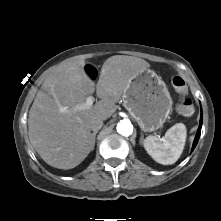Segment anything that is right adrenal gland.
<instances>
[{
  "label": "right adrenal gland",
  "instance_id": "2a0ac1e0",
  "mask_svg": "<svg viewBox=\"0 0 221 221\" xmlns=\"http://www.w3.org/2000/svg\"><path fill=\"white\" fill-rule=\"evenodd\" d=\"M98 133V131H95L92 133V137H93V148L92 150L94 149V145H95V139H96V134Z\"/></svg>",
  "mask_w": 221,
  "mask_h": 221
}]
</instances>
